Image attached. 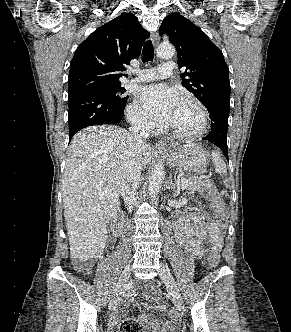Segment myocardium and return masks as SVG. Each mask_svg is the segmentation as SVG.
Instances as JSON below:
<instances>
[{"label": "myocardium", "instance_id": "f54148a6", "mask_svg": "<svg viewBox=\"0 0 291 332\" xmlns=\"http://www.w3.org/2000/svg\"><path fill=\"white\" fill-rule=\"evenodd\" d=\"M180 101L190 103L196 107L200 115L201 126L197 131L193 133H182L170 126L167 127V131L176 138L186 139V140L197 139L206 134V132L209 129V117L204 105L198 99L190 96H184L181 98Z\"/></svg>", "mask_w": 291, "mask_h": 332}]
</instances>
